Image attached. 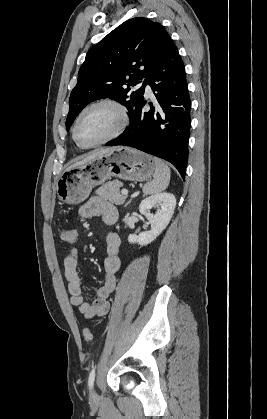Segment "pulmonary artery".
Returning <instances> with one entry per match:
<instances>
[{
    "mask_svg": "<svg viewBox=\"0 0 267 419\" xmlns=\"http://www.w3.org/2000/svg\"><path fill=\"white\" fill-rule=\"evenodd\" d=\"M142 84H143V81L141 83H139L138 86H141ZM145 91H146V94L147 95H151L152 94L151 87L148 84L145 85Z\"/></svg>",
    "mask_w": 267,
    "mask_h": 419,
    "instance_id": "e3ab8cb5",
    "label": "pulmonary artery"
}]
</instances>
